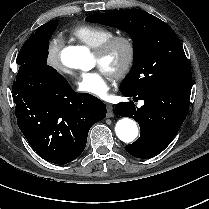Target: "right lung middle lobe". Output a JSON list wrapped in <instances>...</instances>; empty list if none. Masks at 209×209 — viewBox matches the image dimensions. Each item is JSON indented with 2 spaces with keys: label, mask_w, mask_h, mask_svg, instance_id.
Here are the masks:
<instances>
[{
  "label": "right lung middle lobe",
  "mask_w": 209,
  "mask_h": 209,
  "mask_svg": "<svg viewBox=\"0 0 209 209\" xmlns=\"http://www.w3.org/2000/svg\"><path fill=\"white\" fill-rule=\"evenodd\" d=\"M58 20H55L53 25L43 30H36V33L31 35L22 46L18 57L17 64H29L35 66L47 65L49 40L54 32Z\"/></svg>",
  "instance_id": "right-lung-middle-lobe-1"
}]
</instances>
